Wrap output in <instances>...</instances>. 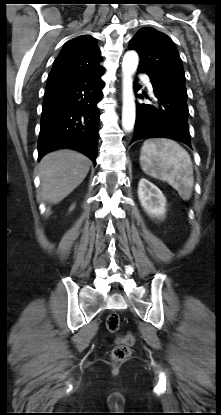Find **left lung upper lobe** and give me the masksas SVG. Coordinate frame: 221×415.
Segmentation results:
<instances>
[{
	"mask_svg": "<svg viewBox=\"0 0 221 415\" xmlns=\"http://www.w3.org/2000/svg\"><path fill=\"white\" fill-rule=\"evenodd\" d=\"M128 48L138 52V71L146 73L153 85L187 95L182 60L166 34L151 27L142 28L132 38Z\"/></svg>",
	"mask_w": 221,
	"mask_h": 415,
	"instance_id": "1",
	"label": "left lung upper lobe"
}]
</instances>
